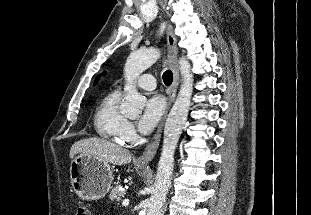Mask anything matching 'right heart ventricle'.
<instances>
[{"label":"right heart ventricle","instance_id":"1","mask_svg":"<svg viewBox=\"0 0 311 215\" xmlns=\"http://www.w3.org/2000/svg\"><path fill=\"white\" fill-rule=\"evenodd\" d=\"M120 98L119 91L109 93L97 107L94 116V126L99 136L116 143L123 141L121 132L127 121L118 108Z\"/></svg>","mask_w":311,"mask_h":215}]
</instances>
